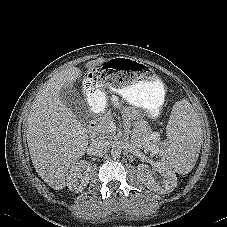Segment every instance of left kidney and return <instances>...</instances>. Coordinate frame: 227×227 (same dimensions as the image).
Segmentation results:
<instances>
[{
  "label": "left kidney",
  "mask_w": 227,
  "mask_h": 227,
  "mask_svg": "<svg viewBox=\"0 0 227 227\" xmlns=\"http://www.w3.org/2000/svg\"><path fill=\"white\" fill-rule=\"evenodd\" d=\"M156 172L160 174L159 177L156 176ZM137 176L148 189L159 194H168L177 186L175 172L163 161L156 162L152 170L147 164H139Z\"/></svg>",
  "instance_id": "left-kidney-1"
}]
</instances>
